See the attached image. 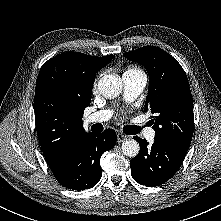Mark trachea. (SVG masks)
Wrapping results in <instances>:
<instances>
[{
  "label": "trachea",
  "mask_w": 221,
  "mask_h": 221,
  "mask_svg": "<svg viewBox=\"0 0 221 221\" xmlns=\"http://www.w3.org/2000/svg\"><path fill=\"white\" fill-rule=\"evenodd\" d=\"M124 132L129 135H135L140 132V128L138 126H126L124 127Z\"/></svg>",
  "instance_id": "trachea-1"
}]
</instances>
